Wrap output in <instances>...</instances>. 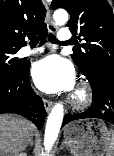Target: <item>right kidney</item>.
I'll return each instance as SVG.
<instances>
[{
  "label": "right kidney",
  "mask_w": 114,
  "mask_h": 156,
  "mask_svg": "<svg viewBox=\"0 0 114 156\" xmlns=\"http://www.w3.org/2000/svg\"><path fill=\"white\" fill-rule=\"evenodd\" d=\"M16 156H27L26 153H20V154H17Z\"/></svg>",
  "instance_id": "obj_1"
}]
</instances>
